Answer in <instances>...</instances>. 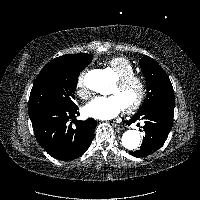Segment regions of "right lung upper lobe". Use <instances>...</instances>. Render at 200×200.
I'll return each mask as SVG.
<instances>
[{
  "label": "right lung upper lobe",
  "instance_id": "right-lung-upper-lobe-1",
  "mask_svg": "<svg viewBox=\"0 0 200 200\" xmlns=\"http://www.w3.org/2000/svg\"><path fill=\"white\" fill-rule=\"evenodd\" d=\"M80 54H67L64 56L57 57L50 61L42 70L41 73H52L58 72L59 70L73 65L77 59L81 56Z\"/></svg>",
  "mask_w": 200,
  "mask_h": 200
}]
</instances>
